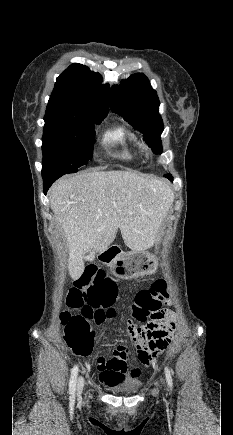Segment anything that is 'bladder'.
Segmentation results:
<instances>
[{
  "label": "bladder",
  "mask_w": 233,
  "mask_h": 435,
  "mask_svg": "<svg viewBox=\"0 0 233 435\" xmlns=\"http://www.w3.org/2000/svg\"><path fill=\"white\" fill-rule=\"evenodd\" d=\"M139 388V386H137V389ZM127 395H132L133 393H134V390L133 391H127V392H125Z\"/></svg>",
  "instance_id": "obj_1"
}]
</instances>
